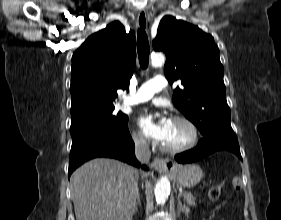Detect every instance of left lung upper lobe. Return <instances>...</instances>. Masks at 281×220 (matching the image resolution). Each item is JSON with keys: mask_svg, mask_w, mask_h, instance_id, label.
Listing matches in <instances>:
<instances>
[{"mask_svg": "<svg viewBox=\"0 0 281 220\" xmlns=\"http://www.w3.org/2000/svg\"><path fill=\"white\" fill-rule=\"evenodd\" d=\"M153 47L166 54L164 72L169 83L181 80L182 88L174 90L172 100L185 117L204 137L223 133L236 136L230 125L223 66L213 37L197 26L165 16Z\"/></svg>", "mask_w": 281, "mask_h": 220, "instance_id": "obj_1", "label": "left lung upper lobe"}]
</instances>
